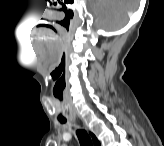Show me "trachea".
Here are the masks:
<instances>
[{"instance_id": "3493384b", "label": "trachea", "mask_w": 164, "mask_h": 146, "mask_svg": "<svg viewBox=\"0 0 164 146\" xmlns=\"http://www.w3.org/2000/svg\"><path fill=\"white\" fill-rule=\"evenodd\" d=\"M61 123H65V121H61ZM76 134L81 146H92L91 138L85 130L79 129Z\"/></svg>"}]
</instances>
